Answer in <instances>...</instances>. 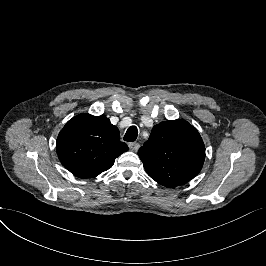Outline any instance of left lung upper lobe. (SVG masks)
<instances>
[{
  "label": "left lung upper lobe",
  "instance_id": "obj_1",
  "mask_svg": "<svg viewBox=\"0 0 266 266\" xmlns=\"http://www.w3.org/2000/svg\"><path fill=\"white\" fill-rule=\"evenodd\" d=\"M138 155L147 174L172 188L194 178L205 159V146L198 131L185 120L155 125Z\"/></svg>",
  "mask_w": 266,
  "mask_h": 266
}]
</instances>
